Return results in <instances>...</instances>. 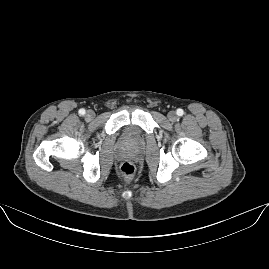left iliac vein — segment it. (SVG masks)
Wrapping results in <instances>:
<instances>
[{"mask_svg": "<svg viewBox=\"0 0 269 269\" xmlns=\"http://www.w3.org/2000/svg\"><path fill=\"white\" fill-rule=\"evenodd\" d=\"M167 117H168L169 121H171V122H175L177 119V115L174 111H170L168 113Z\"/></svg>", "mask_w": 269, "mask_h": 269, "instance_id": "obj_1", "label": "left iliac vein"}]
</instances>
